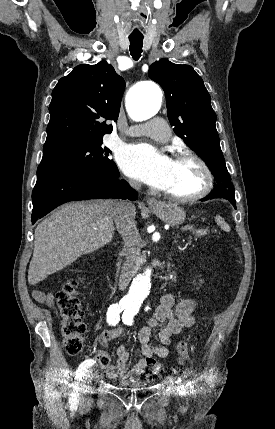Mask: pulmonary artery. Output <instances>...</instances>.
I'll return each mask as SVG.
<instances>
[{
	"label": "pulmonary artery",
	"instance_id": "e3ab8cb5",
	"mask_svg": "<svg viewBox=\"0 0 275 429\" xmlns=\"http://www.w3.org/2000/svg\"><path fill=\"white\" fill-rule=\"evenodd\" d=\"M130 136H148L157 141H167L170 130L162 119H153L150 122L131 126L127 130Z\"/></svg>",
	"mask_w": 275,
	"mask_h": 429
}]
</instances>
